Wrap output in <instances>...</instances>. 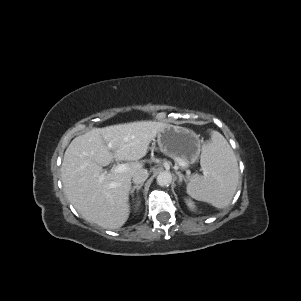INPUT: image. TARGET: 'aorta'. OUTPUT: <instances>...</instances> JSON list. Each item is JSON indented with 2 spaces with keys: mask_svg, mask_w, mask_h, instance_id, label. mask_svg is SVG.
Segmentation results:
<instances>
[{
  "mask_svg": "<svg viewBox=\"0 0 301 301\" xmlns=\"http://www.w3.org/2000/svg\"><path fill=\"white\" fill-rule=\"evenodd\" d=\"M157 183L160 186H167L172 182V175L168 171L160 172L157 176Z\"/></svg>",
  "mask_w": 301,
  "mask_h": 301,
  "instance_id": "762f6f07",
  "label": "aorta"
}]
</instances>
